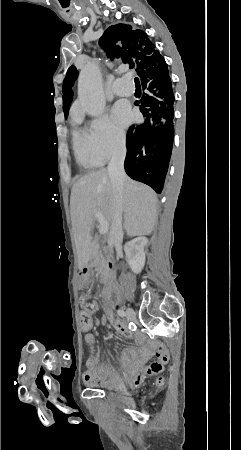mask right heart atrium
I'll return each mask as SVG.
<instances>
[{
    "mask_svg": "<svg viewBox=\"0 0 241 450\" xmlns=\"http://www.w3.org/2000/svg\"><path fill=\"white\" fill-rule=\"evenodd\" d=\"M74 123L83 128L90 123L88 116H76ZM87 150L102 161L125 153V131L114 124L107 115L97 118L86 131Z\"/></svg>",
    "mask_w": 241,
    "mask_h": 450,
    "instance_id": "d8ad5b80",
    "label": "right heart atrium"
}]
</instances>
